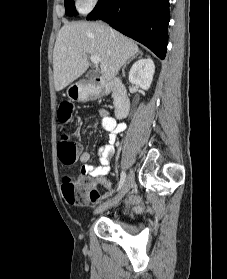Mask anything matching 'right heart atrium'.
Masks as SVG:
<instances>
[{
  "label": "right heart atrium",
  "instance_id": "1",
  "mask_svg": "<svg viewBox=\"0 0 227 279\" xmlns=\"http://www.w3.org/2000/svg\"><path fill=\"white\" fill-rule=\"evenodd\" d=\"M100 0H77L78 6L85 11L91 10L94 8Z\"/></svg>",
  "mask_w": 227,
  "mask_h": 279
}]
</instances>
